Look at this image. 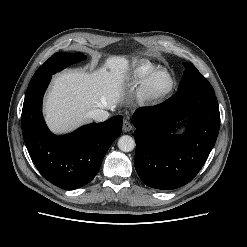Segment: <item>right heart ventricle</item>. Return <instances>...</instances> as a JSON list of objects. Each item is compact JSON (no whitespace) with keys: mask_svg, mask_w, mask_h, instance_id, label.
Wrapping results in <instances>:
<instances>
[{"mask_svg":"<svg viewBox=\"0 0 247 247\" xmlns=\"http://www.w3.org/2000/svg\"><path fill=\"white\" fill-rule=\"evenodd\" d=\"M157 68L150 61L144 60L138 62L129 72L128 79L132 84H139L142 78L151 70Z\"/></svg>","mask_w":247,"mask_h":247,"instance_id":"e07e8e85","label":"right heart ventricle"}]
</instances>
